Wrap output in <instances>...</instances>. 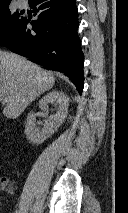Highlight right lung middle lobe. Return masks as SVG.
I'll list each match as a JSON object with an SVG mask.
<instances>
[{"label": "right lung middle lobe", "instance_id": "1", "mask_svg": "<svg viewBox=\"0 0 128 213\" xmlns=\"http://www.w3.org/2000/svg\"><path fill=\"white\" fill-rule=\"evenodd\" d=\"M23 19L19 13L10 12L9 4L0 6V43L16 29Z\"/></svg>", "mask_w": 128, "mask_h": 213}]
</instances>
